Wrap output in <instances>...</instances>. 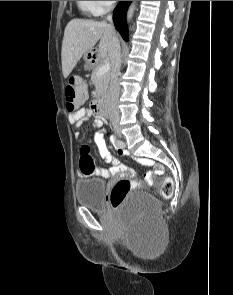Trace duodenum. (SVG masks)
I'll use <instances>...</instances> for the list:
<instances>
[{"label": "duodenum", "mask_w": 233, "mask_h": 295, "mask_svg": "<svg viewBox=\"0 0 233 295\" xmlns=\"http://www.w3.org/2000/svg\"><path fill=\"white\" fill-rule=\"evenodd\" d=\"M92 110L98 115H105V108L100 98H95L92 101Z\"/></svg>", "instance_id": "1"}]
</instances>
